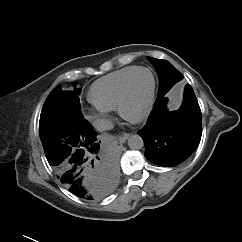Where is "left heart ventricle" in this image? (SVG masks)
Listing matches in <instances>:
<instances>
[{"label": "left heart ventricle", "instance_id": "1", "mask_svg": "<svg viewBox=\"0 0 242 242\" xmlns=\"http://www.w3.org/2000/svg\"><path fill=\"white\" fill-rule=\"evenodd\" d=\"M151 87L152 77L148 72L143 71L135 76L126 104L128 114L134 116L142 112L148 100Z\"/></svg>", "mask_w": 242, "mask_h": 242}]
</instances>
